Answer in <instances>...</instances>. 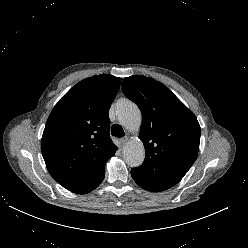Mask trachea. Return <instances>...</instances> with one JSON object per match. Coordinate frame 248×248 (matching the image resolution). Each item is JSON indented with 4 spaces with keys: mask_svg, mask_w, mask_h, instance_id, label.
<instances>
[{
    "mask_svg": "<svg viewBox=\"0 0 248 248\" xmlns=\"http://www.w3.org/2000/svg\"><path fill=\"white\" fill-rule=\"evenodd\" d=\"M111 133L113 136L118 137V138L123 137L125 135V132L122 126L118 124H115L112 126Z\"/></svg>",
    "mask_w": 248,
    "mask_h": 248,
    "instance_id": "3493384b",
    "label": "trachea"
}]
</instances>
